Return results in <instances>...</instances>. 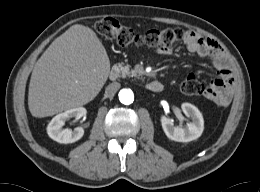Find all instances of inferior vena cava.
<instances>
[{"label":"inferior vena cava","instance_id":"1","mask_svg":"<svg viewBox=\"0 0 260 192\" xmlns=\"http://www.w3.org/2000/svg\"><path fill=\"white\" fill-rule=\"evenodd\" d=\"M120 87H121V85L118 82H113V83L109 84L105 90V95L109 98L113 97L114 94L119 90Z\"/></svg>","mask_w":260,"mask_h":192}]
</instances>
